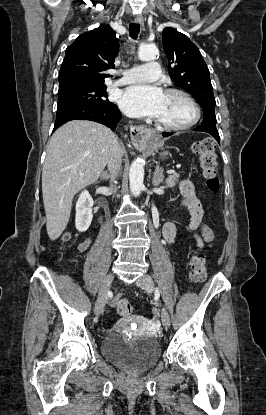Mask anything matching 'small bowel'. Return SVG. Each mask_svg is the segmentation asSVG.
<instances>
[{
  "label": "small bowel",
  "mask_w": 266,
  "mask_h": 415,
  "mask_svg": "<svg viewBox=\"0 0 266 415\" xmlns=\"http://www.w3.org/2000/svg\"><path fill=\"white\" fill-rule=\"evenodd\" d=\"M180 192L182 195V205L190 214V221L188 228L191 230H197L195 238L199 248H202L206 244H210L213 240L212 231L202 223L203 208L200 200L195 194L193 184L188 180L181 181ZM162 234L167 244H172L176 237V226L170 220H167L162 228ZM91 245V239L88 238L78 245L79 252L86 251ZM118 298H115L111 302V306H114Z\"/></svg>",
  "instance_id": "obj_1"
}]
</instances>
